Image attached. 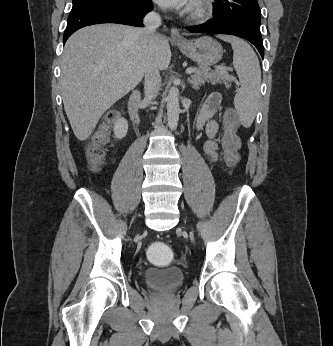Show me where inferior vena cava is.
<instances>
[{"mask_svg": "<svg viewBox=\"0 0 333 346\" xmlns=\"http://www.w3.org/2000/svg\"><path fill=\"white\" fill-rule=\"evenodd\" d=\"M143 23L145 28L142 31L146 36L150 49L144 69V93L145 101L150 103L157 96L161 88V77L153 55V51L156 48V35L154 32L161 25V18L156 12H149L144 17Z\"/></svg>", "mask_w": 333, "mask_h": 346, "instance_id": "inferior-vena-cava-1", "label": "inferior vena cava"}]
</instances>
